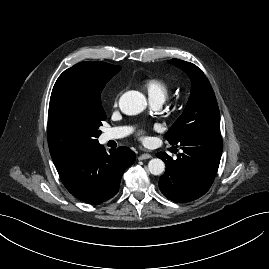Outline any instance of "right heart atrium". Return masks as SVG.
I'll list each match as a JSON object with an SVG mask.
<instances>
[{
    "mask_svg": "<svg viewBox=\"0 0 269 269\" xmlns=\"http://www.w3.org/2000/svg\"><path fill=\"white\" fill-rule=\"evenodd\" d=\"M118 97H119V95L115 96V98H114V100H113V104H114V105H116V104H117Z\"/></svg>",
    "mask_w": 269,
    "mask_h": 269,
    "instance_id": "1",
    "label": "right heart atrium"
}]
</instances>
